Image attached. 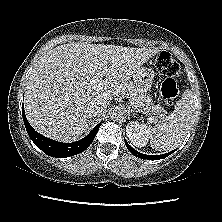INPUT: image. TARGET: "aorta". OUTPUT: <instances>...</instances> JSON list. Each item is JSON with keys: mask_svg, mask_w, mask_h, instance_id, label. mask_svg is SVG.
<instances>
[{"mask_svg": "<svg viewBox=\"0 0 222 222\" xmlns=\"http://www.w3.org/2000/svg\"><path fill=\"white\" fill-rule=\"evenodd\" d=\"M110 116L112 119L121 120L123 118V112L119 108H114L111 111Z\"/></svg>", "mask_w": 222, "mask_h": 222, "instance_id": "762f6f07", "label": "aorta"}]
</instances>
